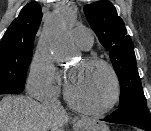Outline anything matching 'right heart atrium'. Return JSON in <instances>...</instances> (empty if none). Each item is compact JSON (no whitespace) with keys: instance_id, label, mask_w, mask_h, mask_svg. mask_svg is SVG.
Here are the masks:
<instances>
[{"instance_id":"1","label":"right heart atrium","mask_w":151,"mask_h":131,"mask_svg":"<svg viewBox=\"0 0 151 131\" xmlns=\"http://www.w3.org/2000/svg\"><path fill=\"white\" fill-rule=\"evenodd\" d=\"M58 70L50 55L37 50L29 65L26 86L31 96L47 98L57 91Z\"/></svg>"}]
</instances>
